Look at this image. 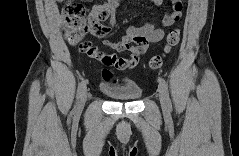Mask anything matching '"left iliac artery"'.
<instances>
[{"label":"left iliac artery","mask_w":239,"mask_h":156,"mask_svg":"<svg viewBox=\"0 0 239 156\" xmlns=\"http://www.w3.org/2000/svg\"><path fill=\"white\" fill-rule=\"evenodd\" d=\"M158 82H159V85H160L164 95H165L167 107L171 108L172 105H171V100H170V97H169L168 85L163 78H159Z\"/></svg>","instance_id":"obj_1"}]
</instances>
